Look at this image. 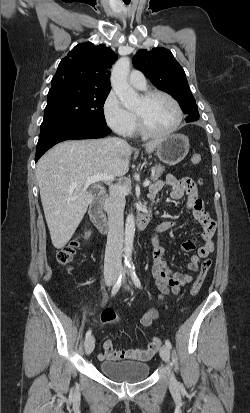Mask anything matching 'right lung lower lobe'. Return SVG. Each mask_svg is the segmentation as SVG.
<instances>
[{"instance_id":"98d812e1","label":"right lung lower lobe","mask_w":250,"mask_h":413,"mask_svg":"<svg viewBox=\"0 0 250 413\" xmlns=\"http://www.w3.org/2000/svg\"><path fill=\"white\" fill-rule=\"evenodd\" d=\"M111 133L107 126L94 124H68L51 130L50 132L40 135L35 162L55 144L71 139H95L102 138Z\"/></svg>"}]
</instances>
